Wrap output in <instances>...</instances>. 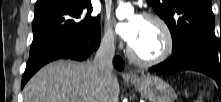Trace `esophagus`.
<instances>
[{
  "label": "esophagus",
  "mask_w": 221,
  "mask_h": 102,
  "mask_svg": "<svg viewBox=\"0 0 221 102\" xmlns=\"http://www.w3.org/2000/svg\"><path fill=\"white\" fill-rule=\"evenodd\" d=\"M129 76L133 77V76H134V74H133V73H129Z\"/></svg>",
  "instance_id": "obj_1"
}]
</instances>
